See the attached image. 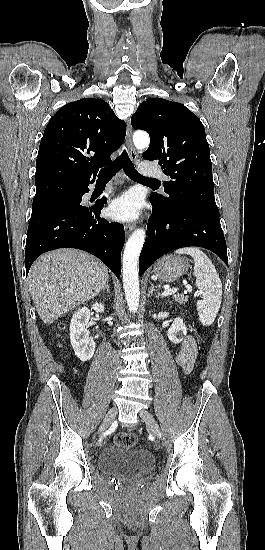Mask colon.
<instances>
[{
  "label": "colon",
  "instance_id": "5ec220e1",
  "mask_svg": "<svg viewBox=\"0 0 265 550\" xmlns=\"http://www.w3.org/2000/svg\"><path fill=\"white\" fill-rule=\"evenodd\" d=\"M59 327L64 328V324L61 323ZM137 436L131 432H121L114 437V442L116 445L124 447H135L137 445Z\"/></svg>",
  "mask_w": 265,
  "mask_h": 550
}]
</instances>
